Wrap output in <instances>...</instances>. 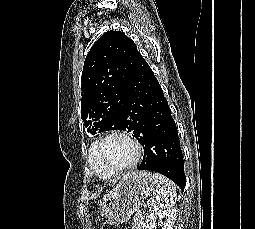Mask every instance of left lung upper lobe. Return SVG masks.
<instances>
[{
    "mask_svg": "<svg viewBox=\"0 0 255 229\" xmlns=\"http://www.w3.org/2000/svg\"><path fill=\"white\" fill-rule=\"evenodd\" d=\"M141 54L123 32L108 31L86 56L81 83V118L88 133L125 131L124 96Z\"/></svg>",
    "mask_w": 255,
    "mask_h": 229,
    "instance_id": "left-lung-upper-lobe-1",
    "label": "left lung upper lobe"
}]
</instances>
